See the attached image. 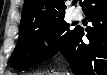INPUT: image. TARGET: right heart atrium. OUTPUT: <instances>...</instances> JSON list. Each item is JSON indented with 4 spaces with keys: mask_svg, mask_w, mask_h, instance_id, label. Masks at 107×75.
<instances>
[{
    "mask_svg": "<svg viewBox=\"0 0 107 75\" xmlns=\"http://www.w3.org/2000/svg\"><path fill=\"white\" fill-rule=\"evenodd\" d=\"M40 45L43 50H49L52 46V38L49 33H44L40 40Z\"/></svg>",
    "mask_w": 107,
    "mask_h": 75,
    "instance_id": "obj_1",
    "label": "right heart atrium"
}]
</instances>
